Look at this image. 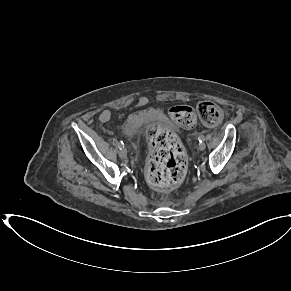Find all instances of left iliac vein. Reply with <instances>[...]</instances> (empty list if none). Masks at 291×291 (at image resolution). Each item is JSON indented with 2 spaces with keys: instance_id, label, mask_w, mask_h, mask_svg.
I'll return each instance as SVG.
<instances>
[{
  "instance_id": "left-iliac-vein-1",
  "label": "left iliac vein",
  "mask_w": 291,
  "mask_h": 291,
  "mask_svg": "<svg viewBox=\"0 0 291 291\" xmlns=\"http://www.w3.org/2000/svg\"><path fill=\"white\" fill-rule=\"evenodd\" d=\"M198 148H199L200 151L205 150V148H206L205 143L204 142H200L199 145H198Z\"/></svg>"
}]
</instances>
